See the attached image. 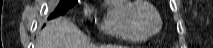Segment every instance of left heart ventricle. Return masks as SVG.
<instances>
[{
  "label": "left heart ventricle",
  "mask_w": 213,
  "mask_h": 48,
  "mask_svg": "<svg viewBox=\"0 0 213 48\" xmlns=\"http://www.w3.org/2000/svg\"><path fill=\"white\" fill-rule=\"evenodd\" d=\"M140 22L147 32H154L158 27L157 18L149 9L141 12Z\"/></svg>",
  "instance_id": "b2bd125f"
}]
</instances>
